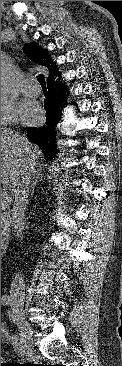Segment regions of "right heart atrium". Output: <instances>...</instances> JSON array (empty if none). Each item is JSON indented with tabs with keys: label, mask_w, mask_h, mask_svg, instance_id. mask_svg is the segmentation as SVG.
<instances>
[{
	"label": "right heart atrium",
	"mask_w": 122,
	"mask_h": 366,
	"mask_svg": "<svg viewBox=\"0 0 122 366\" xmlns=\"http://www.w3.org/2000/svg\"><path fill=\"white\" fill-rule=\"evenodd\" d=\"M14 122L13 104L9 100L1 99V127L13 126Z\"/></svg>",
	"instance_id": "d8ad5b80"
}]
</instances>
